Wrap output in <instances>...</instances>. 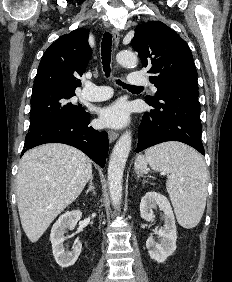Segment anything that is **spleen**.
<instances>
[{
    "instance_id": "obj_1",
    "label": "spleen",
    "mask_w": 232,
    "mask_h": 282,
    "mask_svg": "<svg viewBox=\"0 0 232 282\" xmlns=\"http://www.w3.org/2000/svg\"><path fill=\"white\" fill-rule=\"evenodd\" d=\"M149 164L153 170L171 174L166 182L178 223L193 228L201 220L206 206L208 171L203 158L192 148L168 142L149 148L139 155L135 168Z\"/></svg>"
}]
</instances>
